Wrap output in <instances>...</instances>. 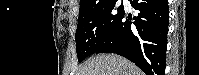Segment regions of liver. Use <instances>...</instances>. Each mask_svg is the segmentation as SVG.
<instances>
[{"instance_id":"1","label":"liver","mask_w":199,"mask_h":75,"mask_svg":"<svg viewBox=\"0 0 199 75\" xmlns=\"http://www.w3.org/2000/svg\"><path fill=\"white\" fill-rule=\"evenodd\" d=\"M76 75H143V72L126 58L101 54L87 60Z\"/></svg>"}]
</instances>
